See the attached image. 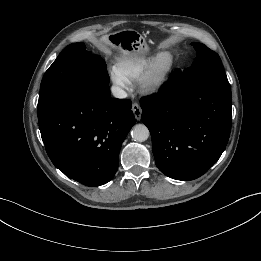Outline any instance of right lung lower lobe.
Instances as JSON below:
<instances>
[{
  "instance_id": "1",
  "label": "right lung lower lobe",
  "mask_w": 261,
  "mask_h": 261,
  "mask_svg": "<svg viewBox=\"0 0 261 261\" xmlns=\"http://www.w3.org/2000/svg\"><path fill=\"white\" fill-rule=\"evenodd\" d=\"M131 101L111 98L109 87L80 88L38 114L46 152L66 176L86 185L109 182L135 123Z\"/></svg>"
}]
</instances>
